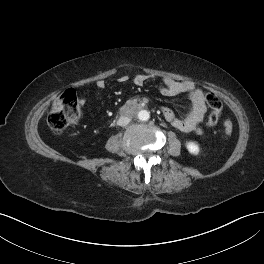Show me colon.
I'll return each instance as SVG.
<instances>
[{
  "instance_id": "obj_1",
  "label": "colon",
  "mask_w": 264,
  "mask_h": 264,
  "mask_svg": "<svg viewBox=\"0 0 264 264\" xmlns=\"http://www.w3.org/2000/svg\"><path fill=\"white\" fill-rule=\"evenodd\" d=\"M204 98L209 105L211 112L207 119V125H215L222 113L223 105L221 100L212 92H205ZM80 115L78 98L74 90L65 91L53 104L48 116V125L55 133H61L70 123L74 122ZM225 136H230L233 131L231 120L223 122Z\"/></svg>"
}]
</instances>
